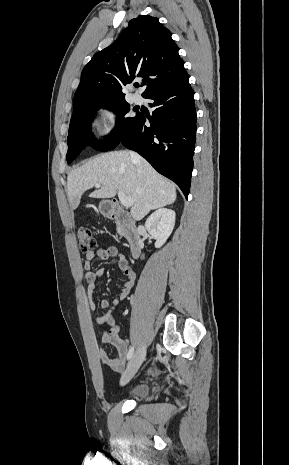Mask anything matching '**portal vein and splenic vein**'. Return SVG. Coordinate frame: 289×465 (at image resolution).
I'll return each instance as SVG.
<instances>
[{
	"label": "portal vein and splenic vein",
	"instance_id": "portal-vein-and-splenic-vein-1",
	"mask_svg": "<svg viewBox=\"0 0 289 465\" xmlns=\"http://www.w3.org/2000/svg\"><path fill=\"white\" fill-rule=\"evenodd\" d=\"M95 186L100 187L101 184H96ZM118 197L121 204L125 208H130L133 205V200L130 197L126 196L122 191H118Z\"/></svg>",
	"mask_w": 289,
	"mask_h": 465
}]
</instances>
